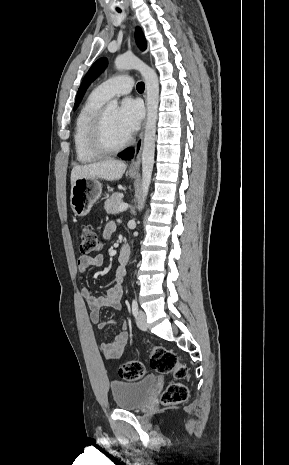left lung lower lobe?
<instances>
[{"label": "left lung lower lobe", "mask_w": 289, "mask_h": 465, "mask_svg": "<svg viewBox=\"0 0 289 465\" xmlns=\"http://www.w3.org/2000/svg\"><path fill=\"white\" fill-rule=\"evenodd\" d=\"M133 154H134V149H129L127 151L121 152L120 154H118V156L123 159H130L133 157Z\"/></svg>", "instance_id": "0a47b994"}]
</instances>
